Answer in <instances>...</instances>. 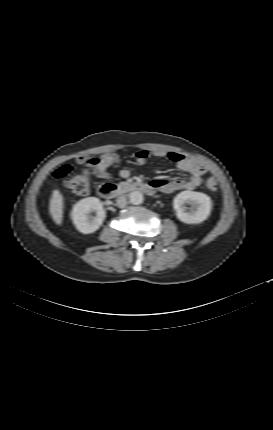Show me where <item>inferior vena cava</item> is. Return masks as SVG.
Segmentation results:
<instances>
[{
  "instance_id": "1",
  "label": "inferior vena cava",
  "mask_w": 273,
  "mask_h": 430,
  "mask_svg": "<svg viewBox=\"0 0 273 430\" xmlns=\"http://www.w3.org/2000/svg\"><path fill=\"white\" fill-rule=\"evenodd\" d=\"M126 204H127V201H126V198L124 196H121L118 198L117 205L119 208H125Z\"/></svg>"
}]
</instances>
